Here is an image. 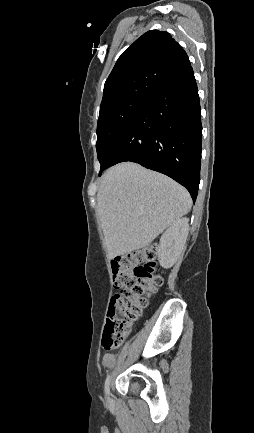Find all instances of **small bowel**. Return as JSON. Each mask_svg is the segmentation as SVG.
I'll return each mask as SVG.
<instances>
[{
    "label": "small bowel",
    "mask_w": 254,
    "mask_h": 433,
    "mask_svg": "<svg viewBox=\"0 0 254 433\" xmlns=\"http://www.w3.org/2000/svg\"><path fill=\"white\" fill-rule=\"evenodd\" d=\"M113 361L112 355L111 354H105L103 356V364L105 366H109Z\"/></svg>",
    "instance_id": "obj_1"
}]
</instances>
